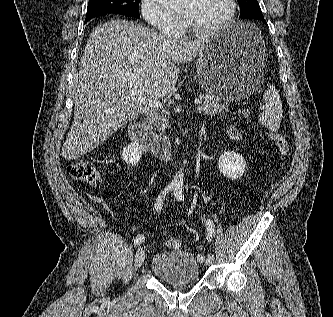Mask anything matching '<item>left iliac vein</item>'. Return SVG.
<instances>
[{"label":"left iliac vein","mask_w":333,"mask_h":317,"mask_svg":"<svg viewBox=\"0 0 333 317\" xmlns=\"http://www.w3.org/2000/svg\"><path fill=\"white\" fill-rule=\"evenodd\" d=\"M213 261H214V256H213V254H209V255L206 257V259H205V263H206L207 265H211V264L213 263Z\"/></svg>","instance_id":"1"}]
</instances>
